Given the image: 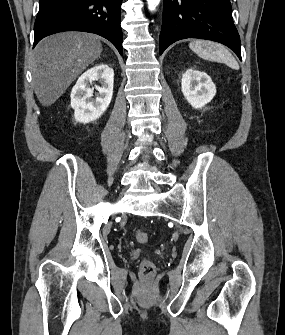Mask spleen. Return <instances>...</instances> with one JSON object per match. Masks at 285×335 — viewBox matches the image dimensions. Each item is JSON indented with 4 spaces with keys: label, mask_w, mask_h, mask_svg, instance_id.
<instances>
[{
    "label": "spleen",
    "mask_w": 285,
    "mask_h": 335,
    "mask_svg": "<svg viewBox=\"0 0 285 335\" xmlns=\"http://www.w3.org/2000/svg\"><path fill=\"white\" fill-rule=\"evenodd\" d=\"M190 50L196 52L199 58L203 60H212V62H222L233 70H239L238 62L233 58L232 54L220 46V44H214V42H204V40H195L189 44Z\"/></svg>",
    "instance_id": "spleen-1"
}]
</instances>
